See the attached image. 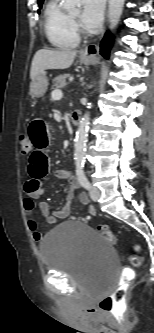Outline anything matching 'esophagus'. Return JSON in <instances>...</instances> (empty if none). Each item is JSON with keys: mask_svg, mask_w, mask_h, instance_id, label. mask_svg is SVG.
<instances>
[{"mask_svg": "<svg viewBox=\"0 0 154 333\" xmlns=\"http://www.w3.org/2000/svg\"><path fill=\"white\" fill-rule=\"evenodd\" d=\"M98 46L97 45H89L85 49L81 51V55L86 57H93L98 53Z\"/></svg>", "mask_w": 154, "mask_h": 333, "instance_id": "esophagus-1", "label": "esophagus"}]
</instances>
